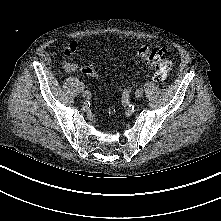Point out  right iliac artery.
Here are the masks:
<instances>
[{"instance_id":"1","label":"right iliac artery","mask_w":221,"mask_h":221,"mask_svg":"<svg viewBox=\"0 0 221 221\" xmlns=\"http://www.w3.org/2000/svg\"><path fill=\"white\" fill-rule=\"evenodd\" d=\"M84 98L85 99H90L91 98V92L86 90L85 93H84Z\"/></svg>"}]
</instances>
